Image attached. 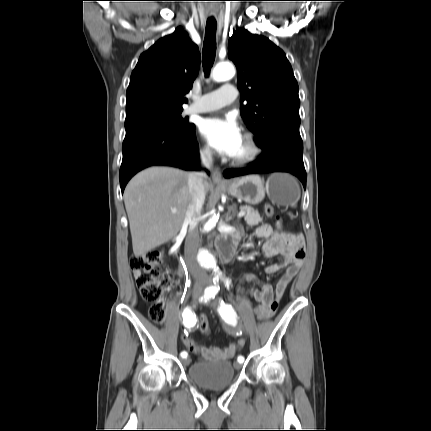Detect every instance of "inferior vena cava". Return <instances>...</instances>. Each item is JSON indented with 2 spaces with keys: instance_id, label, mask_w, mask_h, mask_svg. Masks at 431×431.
Returning a JSON list of instances; mask_svg holds the SVG:
<instances>
[{
  "instance_id": "1",
  "label": "inferior vena cava",
  "mask_w": 431,
  "mask_h": 431,
  "mask_svg": "<svg viewBox=\"0 0 431 431\" xmlns=\"http://www.w3.org/2000/svg\"><path fill=\"white\" fill-rule=\"evenodd\" d=\"M201 165L211 169L213 158L210 148L206 147L200 151ZM205 172H192L188 176V188L190 203L187 207L184 223L189 226L188 235L185 241V257L189 263L190 272L194 278V291L201 293L204 283L207 280L206 273L198 266L196 256L199 247L198 217L201 213L205 201V187L203 181Z\"/></svg>"
}]
</instances>
